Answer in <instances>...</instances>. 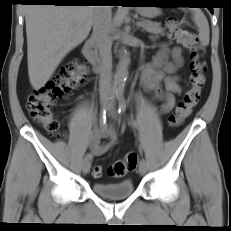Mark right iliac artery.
<instances>
[{
	"label": "right iliac artery",
	"mask_w": 231,
	"mask_h": 231,
	"mask_svg": "<svg viewBox=\"0 0 231 231\" xmlns=\"http://www.w3.org/2000/svg\"><path fill=\"white\" fill-rule=\"evenodd\" d=\"M116 92L117 91L115 89H113L112 92H111L110 98H112L116 94ZM99 124H100V129L101 130L106 129V127H107V116H106V110L105 109L102 111ZM92 157H93L92 153H88V154H86L85 159H90L91 160Z\"/></svg>",
	"instance_id": "right-iliac-artery-1"
}]
</instances>
